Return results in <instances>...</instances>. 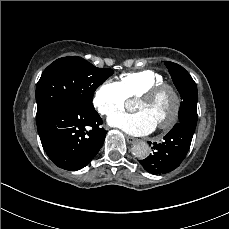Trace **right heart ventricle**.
<instances>
[{"label":"right heart ventricle","mask_w":229,"mask_h":229,"mask_svg":"<svg viewBox=\"0 0 229 229\" xmlns=\"http://www.w3.org/2000/svg\"><path fill=\"white\" fill-rule=\"evenodd\" d=\"M165 82V77L161 73L154 70H141L122 74L118 84L127 98H135Z\"/></svg>","instance_id":"obj_1"}]
</instances>
